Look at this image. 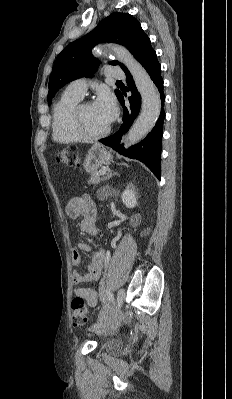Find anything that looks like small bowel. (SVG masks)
<instances>
[{"label": "small bowel", "mask_w": 232, "mask_h": 399, "mask_svg": "<svg viewBox=\"0 0 232 399\" xmlns=\"http://www.w3.org/2000/svg\"><path fill=\"white\" fill-rule=\"evenodd\" d=\"M67 212L71 215H81L79 229L83 233H86L92 242L100 243L103 241L102 237L97 236L94 231V218L97 213V205L89 196L83 195L78 198H73L67 206ZM78 248L80 250H86L88 249V243L80 241L78 242ZM69 261L72 264H78L80 262V255L76 250L70 251ZM104 261L105 257L101 252L94 253L88 265V272L86 274L75 273L72 277V282L80 284L90 279L99 278L102 273V264ZM73 295L76 298L86 300L88 306L91 308H96L98 306L97 295L94 289L74 287Z\"/></svg>", "instance_id": "1"}]
</instances>
